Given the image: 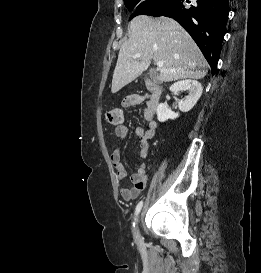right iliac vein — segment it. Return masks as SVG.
I'll use <instances>...</instances> for the list:
<instances>
[{
	"instance_id": "1",
	"label": "right iliac vein",
	"mask_w": 261,
	"mask_h": 273,
	"mask_svg": "<svg viewBox=\"0 0 261 273\" xmlns=\"http://www.w3.org/2000/svg\"><path fill=\"white\" fill-rule=\"evenodd\" d=\"M138 224V220L136 221ZM136 237H139V232H138V228L136 227Z\"/></svg>"
}]
</instances>
